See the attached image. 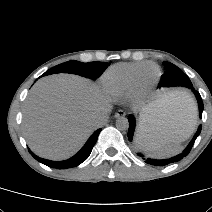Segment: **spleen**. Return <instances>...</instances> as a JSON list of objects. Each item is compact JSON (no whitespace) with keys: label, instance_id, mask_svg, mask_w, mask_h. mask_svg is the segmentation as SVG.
Returning <instances> with one entry per match:
<instances>
[{"label":"spleen","instance_id":"3e777b00","mask_svg":"<svg viewBox=\"0 0 212 212\" xmlns=\"http://www.w3.org/2000/svg\"><path fill=\"white\" fill-rule=\"evenodd\" d=\"M171 96H176L178 101L190 111L196 112V107L193 98L186 92L175 91L170 93ZM147 116L142 114L140 117L139 129L136 137L137 144L155 157H169L181 150L180 143L185 139L176 135H162L157 131H150L145 128Z\"/></svg>","mask_w":212,"mask_h":212}]
</instances>
